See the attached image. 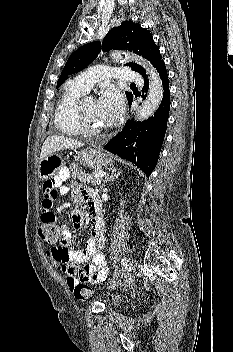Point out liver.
Instances as JSON below:
<instances>
[{"label": "liver", "mask_w": 233, "mask_h": 352, "mask_svg": "<svg viewBox=\"0 0 233 352\" xmlns=\"http://www.w3.org/2000/svg\"><path fill=\"white\" fill-rule=\"evenodd\" d=\"M85 144L63 136L53 135L48 137L41 148L40 161L48 155L64 149H76Z\"/></svg>", "instance_id": "obj_1"}]
</instances>
